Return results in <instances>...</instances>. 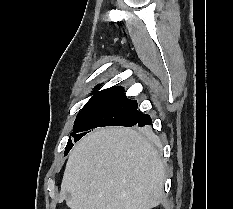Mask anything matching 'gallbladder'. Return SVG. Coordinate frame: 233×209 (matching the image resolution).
Instances as JSON below:
<instances>
[{
    "instance_id": "bac80fb5",
    "label": "gallbladder",
    "mask_w": 233,
    "mask_h": 209,
    "mask_svg": "<svg viewBox=\"0 0 233 209\" xmlns=\"http://www.w3.org/2000/svg\"><path fill=\"white\" fill-rule=\"evenodd\" d=\"M67 198H68V199H70V198H71V195H70L69 193L67 194Z\"/></svg>"
}]
</instances>
